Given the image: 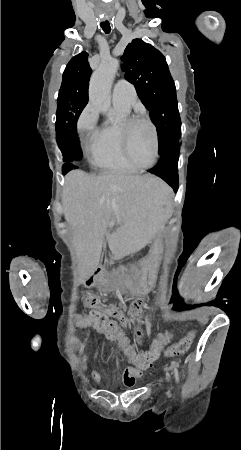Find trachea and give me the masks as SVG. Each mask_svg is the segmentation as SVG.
<instances>
[{"instance_id":"trachea-1","label":"trachea","mask_w":241,"mask_h":450,"mask_svg":"<svg viewBox=\"0 0 241 450\" xmlns=\"http://www.w3.org/2000/svg\"><path fill=\"white\" fill-rule=\"evenodd\" d=\"M101 28L103 29V31L105 33H110V31H111V27H110L109 22H102L101 23Z\"/></svg>"}]
</instances>
